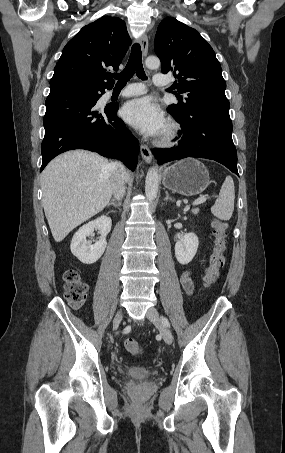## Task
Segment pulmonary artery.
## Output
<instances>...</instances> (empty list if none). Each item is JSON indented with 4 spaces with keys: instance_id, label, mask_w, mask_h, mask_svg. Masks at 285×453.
Returning <instances> with one entry per match:
<instances>
[{
    "instance_id": "obj_1",
    "label": "pulmonary artery",
    "mask_w": 285,
    "mask_h": 453,
    "mask_svg": "<svg viewBox=\"0 0 285 453\" xmlns=\"http://www.w3.org/2000/svg\"><path fill=\"white\" fill-rule=\"evenodd\" d=\"M153 82L157 86H163V85L167 84L168 78L166 75L158 73V74L154 75ZM144 92H145V87L141 83H135V84H131L128 87H126L125 89H123L120 92V95L124 96V97H131V96L141 95Z\"/></svg>"
}]
</instances>
